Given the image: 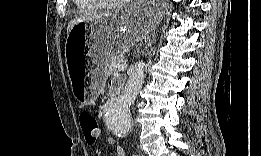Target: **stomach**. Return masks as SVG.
Here are the masks:
<instances>
[{
	"label": "stomach",
	"mask_w": 261,
	"mask_h": 156,
	"mask_svg": "<svg viewBox=\"0 0 261 156\" xmlns=\"http://www.w3.org/2000/svg\"><path fill=\"white\" fill-rule=\"evenodd\" d=\"M164 10L137 2L115 18L82 22L67 35L65 56L72 91L82 105L92 104L104 84L102 68L110 55L147 37L160 23ZM88 48V65L78 68V53Z\"/></svg>",
	"instance_id": "obj_1"
}]
</instances>
